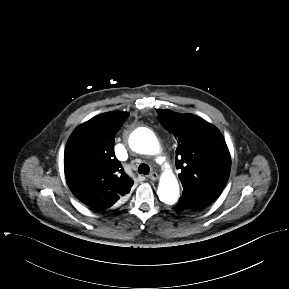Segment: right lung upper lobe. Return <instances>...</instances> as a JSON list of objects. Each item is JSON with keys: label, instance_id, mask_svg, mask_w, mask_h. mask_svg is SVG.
<instances>
[{"label": "right lung upper lobe", "instance_id": "obj_1", "mask_svg": "<svg viewBox=\"0 0 289 289\" xmlns=\"http://www.w3.org/2000/svg\"><path fill=\"white\" fill-rule=\"evenodd\" d=\"M128 112H108L78 126L68 139L64 170L72 193L86 205L103 210L119 204L133 181L114 153L116 132Z\"/></svg>", "mask_w": 289, "mask_h": 289}]
</instances>
